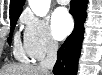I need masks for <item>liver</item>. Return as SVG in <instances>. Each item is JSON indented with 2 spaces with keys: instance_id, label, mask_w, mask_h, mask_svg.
I'll return each mask as SVG.
<instances>
[{
  "instance_id": "6515ba94",
  "label": "liver",
  "mask_w": 102,
  "mask_h": 75,
  "mask_svg": "<svg viewBox=\"0 0 102 75\" xmlns=\"http://www.w3.org/2000/svg\"><path fill=\"white\" fill-rule=\"evenodd\" d=\"M0 75H50L33 65L8 64L0 69Z\"/></svg>"
}]
</instances>
